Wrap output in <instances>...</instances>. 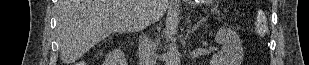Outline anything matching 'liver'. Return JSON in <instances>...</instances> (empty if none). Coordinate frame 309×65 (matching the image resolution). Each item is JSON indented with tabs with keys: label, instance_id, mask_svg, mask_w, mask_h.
Instances as JSON below:
<instances>
[{
	"label": "liver",
	"instance_id": "liver-1",
	"mask_svg": "<svg viewBox=\"0 0 309 65\" xmlns=\"http://www.w3.org/2000/svg\"><path fill=\"white\" fill-rule=\"evenodd\" d=\"M168 0H58L61 59L69 65L114 32H136L158 21Z\"/></svg>",
	"mask_w": 309,
	"mask_h": 65
}]
</instances>
